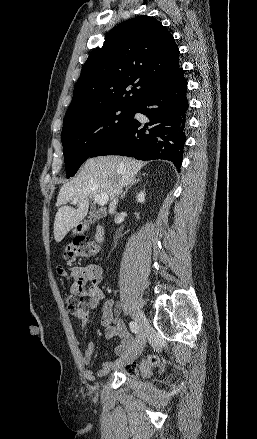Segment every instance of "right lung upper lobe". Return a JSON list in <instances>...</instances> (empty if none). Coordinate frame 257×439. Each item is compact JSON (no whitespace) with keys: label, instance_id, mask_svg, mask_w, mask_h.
I'll return each instance as SVG.
<instances>
[{"label":"right lung upper lobe","instance_id":"right-lung-upper-lobe-1","mask_svg":"<svg viewBox=\"0 0 257 439\" xmlns=\"http://www.w3.org/2000/svg\"><path fill=\"white\" fill-rule=\"evenodd\" d=\"M178 56L173 36L155 18L142 15L120 23L83 65L64 120L108 106L137 107L179 69Z\"/></svg>","mask_w":257,"mask_h":439}]
</instances>
